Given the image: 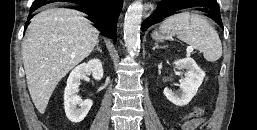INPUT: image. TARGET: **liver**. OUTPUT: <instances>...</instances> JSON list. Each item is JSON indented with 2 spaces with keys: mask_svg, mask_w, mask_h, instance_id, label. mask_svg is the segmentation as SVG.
Here are the masks:
<instances>
[{
  "mask_svg": "<svg viewBox=\"0 0 257 130\" xmlns=\"http://www.w3.org/2000/svg\"><path fill=\"white\" fill-rule=\"evenodd\" d=\"M99 31L81 12L51 8L34 16L22 45L32 101L43 114L59 81L93 51Z\"/></svg>",
  "mask_w": 257,
  "mask_h": 130,
  "instance_id": "1",
  "label": "liver"
}]
</instances>
